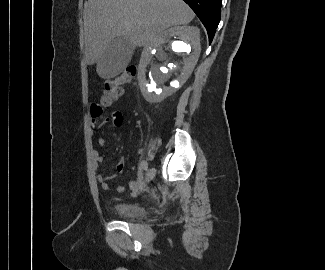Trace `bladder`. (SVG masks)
I'll use <instances>...</instances> for the list:
<instances>
[{
	"instance_id": "1",
	"label": "bladder",
	"mask_w": 325,
	"mask_h": 270,
	"mask_svg": "<svg viewBox=\"0 0 325 270\" xmlns=\"http://www.w3.org/2000/svg\"><path fill=\"white\" fill-rule=\"evenodd\" d=\"M116 215L122 218H137L145 213V209L141 204L130 202H118L113 206Z\"/></svg>"
}]
</instances>
